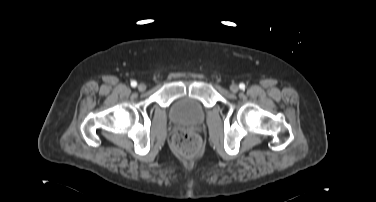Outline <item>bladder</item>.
Masks as SVG:
<instances>
[{
    "instance_id": "bladder-1",
    "label": "bladder",
    "mask_w": 376,
    "mask_h": 202,
    "mask_svg": "<svg viewBox=\"0 0 376 202\" xmlns=\"http://www.w3.org/2000/svg\"><path fill=\"white\" fill-rule=\"evenodd\" d=\"M169 114L172 120L188 125L202 123L206 115L202 103L189 95H182L174 99Z\"/></svg>"
}]
</instances>
